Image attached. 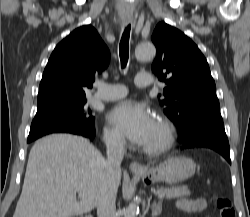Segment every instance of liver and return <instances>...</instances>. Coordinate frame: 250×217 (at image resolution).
I'll return each mask as SVG.
<instances>
[{
  "label": "liver",
  "instance_id": "liver-1",
  "mask_svg": "<svg viewBox=\"0 0 250 217\" xmlns=\"http://www.w3.org/2000/svg\"><path fill=\"white\" fill-rule=\"evenodd\" d=\"M105 161L82 136L53 134L38 140L29 153L13 217H71L90 212L97 207L104 184Z\"/></svg>",
  "mask_w": 250,
  "mask_h": 217
}]
</instances>
